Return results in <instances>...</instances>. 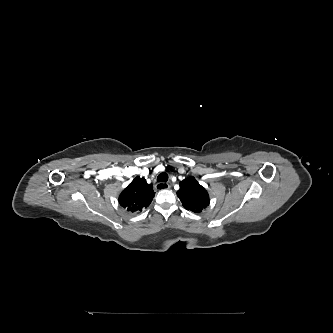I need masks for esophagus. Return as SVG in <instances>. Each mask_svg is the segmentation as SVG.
Instances as JSON below:
<instances>
[{
  "mask_svg": "<svg viewBox=\"0 0 333 333\" xmlns=\"http://www.w3.org/2000/svg\"><path fill=\"white\" fill-rule=\"evenodd\" d=\"M170 187H171L170 184L164 182H159L156 184V189L158 190L169 189Z\"/></svg>",
  "mask_w": 333,
  "mask_h": 333,
  "instance_id": "obj_1",
  "label": "esophagus"
}]
</instances>
